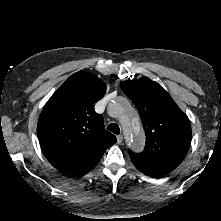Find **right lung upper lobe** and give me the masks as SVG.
Instances as JSON below:
<instances>
[{
    "instance_id": "cb5924a9",
    "label": "right lung upper lobe",
    "mask_w": 221,
    "mask_h": 221,
    "mask_svg": "<svg viewBox=\"0 0 221 221\" xmlns=\"http://www.w3.org/2000/svg\"><path fill=\"white\" fill-rule=\"evenodd\" d=\"M105 92L106 84L101 79L79 71L45 104L37 134L44 155L55 168L102 154L116 143V137L105 130L102 115L93 107Z\"/></svg>"
}]
</instances>
